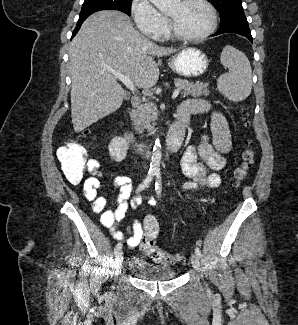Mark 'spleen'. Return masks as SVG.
Here are the masks:
<instances>
[{
	"label": "spleen",
	"instance_id": "spleen-1",
	"mask_svg": "<svg viewBox=\"0 0 298 325\" xmlns=\"http://www.w3.org/2000/svg\"><path fill=\"white\" fill-rule=\"evenodd\" d=\"M220 60L223 66H228L229 72L218 76L219 92L233 102L244 100L252 90V68L246 54L226 44L221 52Z\"/></svg>",
	"mask_w": 298,
	"mask_h": 325
}]
</instances>
